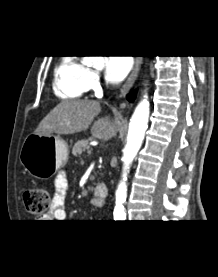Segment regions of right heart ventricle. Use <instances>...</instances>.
<instances>
[{"mask_svg": "<svg viewBox=\"0 0 218 277\" xmlns=\"http://www.w3.org/2000/svg\"><path fill=\"white\" fill-rule=\"evenodd\" d=\"M89 69L74 57L61 58L54 70L53 91L61 99H79L88 89Z\"/></svg>", "mask_w": 218, "mask_h": 277, "instance_id": "right-heart-ventricle-1", "label": "right heart ventricle"}]
</instances>
